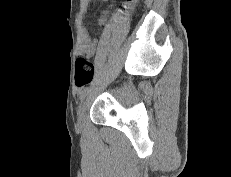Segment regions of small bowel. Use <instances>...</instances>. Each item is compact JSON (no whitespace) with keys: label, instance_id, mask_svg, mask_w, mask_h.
<instances>
[{"label":"small bowel","instance_id":"obj_1","mask_svg":"<svg viewBox=\"0 0 231 177\" xmlns=\"http://www.w3.org/2000/svg\"><path fill=\"white\" fill-rule=\"evenodd\" d=\"M88 3H90L91 0H87ZM100 23L104 22V18L99 19ZM96 45L97 42L95 40H92L87 32L84 33V43L81 46V51L87 56L92 57L95 54L96 51Z\"/></svg>","mask_w":231,"mask_h":177}]
</instances>
